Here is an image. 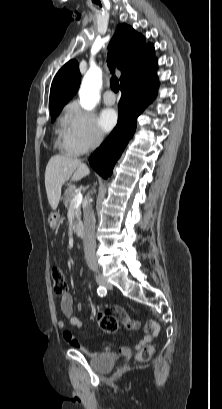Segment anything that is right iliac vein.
I'll use <instances>...</instances> for the list:
<instances>
[{"label":"right iliac vein","mask_w":222,"mask_h":409,"mask_svg":"<svg viewBox=\"0 0 222 409\" xmlns=\"http://www.w3.org/2000/svg\"><path fill=\"white\" fill-rule=\"evenodd\" d=\"M96 280L99 285L106 287V288H111V284L105 277L99 275L96 277Z\"/></svg>","instance_id":"obj_1"}]
</instances>
